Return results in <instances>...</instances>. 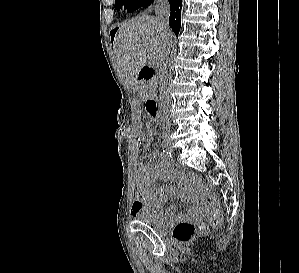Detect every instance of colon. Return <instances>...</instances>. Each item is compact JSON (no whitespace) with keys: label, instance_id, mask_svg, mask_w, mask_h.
Instances as JSON below:
<instances>
[{"label":"colon","instance_id":"colon-1","mask_svg":"<svg viewBox=\"0 0 299 273\" xmlns=\"http://www.w3.org/2000/svg\"><path fill=\"white\" fill-rule=\"evenodd\" d=\"M143 144L146 148L152 144L150 137H143ZM204 215L209 220L210 224L215 225L219 221V206L215 196H208L204 202ZM207 225L195 224L189 221L178 222L172 231L173 238L180 242L185 243L190 241L197 234L205 232Z\"/></svg>","mask_w":299,"mask_h":273}]
</instances>
